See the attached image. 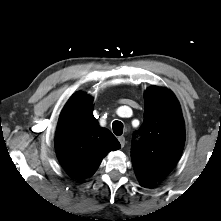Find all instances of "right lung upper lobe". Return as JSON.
Segmentation results:
<instances>
[{
  "mask_svg": "<svg viewBox=\"0 0 221 221\" xmlns=\"http://www.w3.org/2000/svg\"><path fill=\"white\" fill-rule=\"evenodd\" d=\"M93 99L85 93H75L61 112L56 153L65 171L76 179L94 174L103 157L119 149L120 143L108 129L101 128L93 116Z\"/></svg>",
  "mask_w": 221,
  "mask_h": 221,
  "instance_id": "1",
  "label": "right lung upper lobe"
}]
</instances>
